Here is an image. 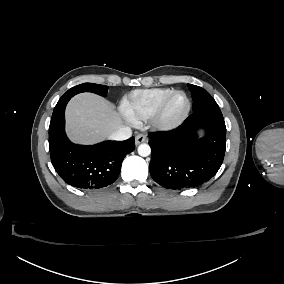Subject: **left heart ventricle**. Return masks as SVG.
I'll return each mask as SVG.
<instances>
[{
	"instance_id": "1",
	"label": "left heart ventricle",
	"mask_w": 284,
	"mask_h": 284,
	"mask_svg": "<svg viewBox=\"0 0 284 284\" xmlns=\"http://www.w3.org/2000/svg\"><path fill=\"white\" fill-rule=\"evenodd\" d=\"M186 106V95L183 92L176 93L167 103L162 122L170 124L177 121L184 114Z\"/></svg>"
}]
</instances>
